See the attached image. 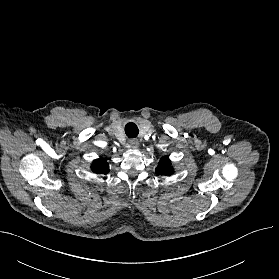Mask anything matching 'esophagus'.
Here are the masks:
<instances>
[{"label":"esophagus","mask_w":279,"mask_h":279,"mask_svg":"<svg viewBox=\"0 0 279 279\" xmlns=\"http://www.w3.org/2000/svg\"><path fill=\"white\" fill-rule=\"evenodd\" d=\"M129 144H130V146H131L132 148H137L138 145H139V142H138V140H136V139H131V140L129 141Z\"/></svg>","instance_id":"obj_1"}]
</instances>
